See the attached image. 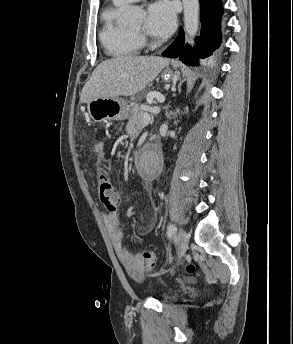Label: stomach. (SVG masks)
Here are the masks:
<instances>
[{
  "label": "stomach",
  "mask_w": 293,
  "mask_h": 344,
  "mask_svg": "<svg viewBox=\"0 0 293 344\" xmlns=\"http://www.w3.org/2000/svg\"><path fill=\"white\" fill-rule=\"evenodd\" d=\"M161 77L165 81H170L175 79L176 75L166 69ZM87 109L94 122L119 121L129 116L126 102L119 97L93 99L87 103Z\"/></svg>",
  "instance_id": "stomach-1"
}]
</instances>
